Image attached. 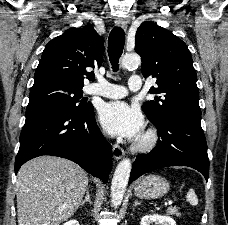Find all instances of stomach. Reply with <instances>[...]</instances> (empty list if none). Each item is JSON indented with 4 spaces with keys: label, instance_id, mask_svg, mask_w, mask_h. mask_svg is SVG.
Here are the masks:
<instances>
[{
    "label": "stomach",
    "instance_id": "1",
    "mask_svg": "<svg viewBox=\"0 0 228 225\" xmlns=\"http://www.w3.org/2000/svg\"><path fill=\"white\" fill-rule=\"evenodd\" d=\"M170 185L163 177L147 175L135 185L134 193L138 199H160L168 193Z\"/></svg>",
    "mask_w": 228,
    "mask_h": 225
}]
</instances>
